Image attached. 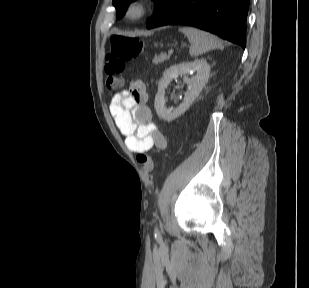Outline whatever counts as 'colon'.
<instances>
[{
  "label": "colon",
  "mask_w": 309,
  "mask_h": 288,
  "mask_svg": "<svg viewBox=\"0 0 309 288\" xmlns=\"http://www.w3.org/2000/svg\"><path fill=\"white\" fill-rule=\"evenodd\" d=\"M144 49V43L136 38L115 35L111 38L110 50L106 55L105 72L108 89L117 90L125 84L126 62L139 56ZM137 161L145 169L153 168V161L147 152H140Z\"/></svg>",
  "instance_id": "1"
}]
</instances>
